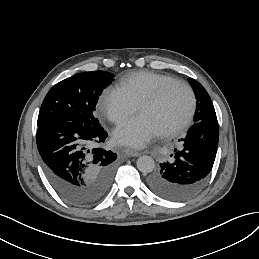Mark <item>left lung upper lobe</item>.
Returning <instances> with one entry per match:
<instances>
[{
  "label": "left lung upper lobe",
  "instance_id": "1",
  "mask_svg": "<svg viewBox=\"0 0 259 259\" xmlns=\"http://www.w3.org/2000/svg\"><path fill=\"white\" fill-rule=\"evenodd\" d=\"M189 82L194 90L197 100L196 113L194 118L195 123L217 119L211 98L205 88L192 78H189Z\"/></svg>",
  "mask_w": 259,
  "mask_h": 259
}]
</instances>
